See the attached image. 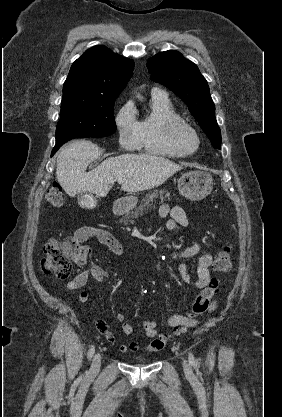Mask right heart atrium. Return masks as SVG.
<instances>
[{"label": "right heart atrium", "instance_id": "obj_1", "mask_svg": "<svg viewBox=\"0 0 282 417\" xmlns=\"http://www.w3.org/2000/svg\"><path fill=\"white\" fill-rule=\"evenodd\" d=\"M116 124L119 131L120 144L128 150L138 148L140 146V141L137 121L132 116L128 105H126L119 113Z\"/></svg>", "mask_w": 282, "mask_h": 417}]
</instances>
